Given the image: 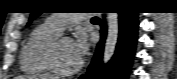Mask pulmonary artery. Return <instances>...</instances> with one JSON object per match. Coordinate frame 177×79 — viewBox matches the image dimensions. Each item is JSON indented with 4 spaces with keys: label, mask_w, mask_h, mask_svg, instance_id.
Returning a JSON list of instances; mask_svg holds the SVG:
<instances>
[{
    "label": "pulmonary artery",
    "mask_w": 177,
    "mask_h": 79,
    "mask_svg": "<svg viewBox=\"0 0 177 79\" xmlns=\"http://www.w3.org/2000/svg\"><path fill=\"white\" fill-rule=\"evenodd\" d=\"M87 17H90V15L85 13L53 14L46 20V22L57 31L63 32L66 27L77 23Z\"/></svg>",
    "instance_id": "1"
}]
</instances>
